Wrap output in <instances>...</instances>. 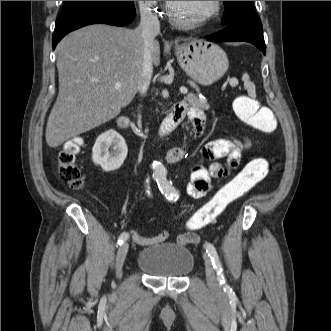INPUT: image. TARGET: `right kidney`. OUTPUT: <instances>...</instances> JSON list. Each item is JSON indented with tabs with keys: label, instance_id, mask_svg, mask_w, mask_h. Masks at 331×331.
Segmentation results:
<instances>
[{
	"label": "right kidney",
	"instance_id": "ca27d5eb",
	"mask_svg": "<svg viewBox=\"0 0 331 331\" xmlns=\"http://www.w3.org/2000/svg\"><path fill=\"white\" fill-rule=\"evenodd\" d=\"M128 153L124 138L115 130H107L97 139L92 149V160L106 172L119 169Z\"/></svg>",
	"mask_w": 331,
	"mask_h": 331
}]
</instances>
